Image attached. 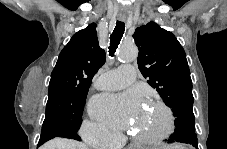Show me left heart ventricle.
I'll use <instances>...</instances> for the list:
<instances>
[{
  "label": "left heart ventricle",
  "instance_id": "obj_1",
  "mask_svg": "<svg viewBox=\"0 0 227 149\" xmlns=\"http://www.w3.org/2000/svg\"><path fill=\"white\" fill-rule=\"evenodd\" d=\"M164 112L154 104L147 102L144 108L138 109L132 129L134 134L150 136L158 134L165 128Z\"/></svg>",
  "mask_w": 227,
  "mask_h": 149
}]
</instances>
